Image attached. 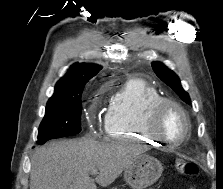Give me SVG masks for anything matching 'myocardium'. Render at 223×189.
<instances>
[{"label":"myocardium","mask_w":223,"mask_h":189,"mask_svg":"<svg viewBox=\"0 0 223 189\" xmlns=\"http://www.w3.org/2000/svg\"><path fill=\"white\" fill-rule=\"evenodd\" d=\"M169 106L174 107L176 110L179 111L185 123L184 135L182 136L181 139H179L176 142H169L166 138L162 136L159 130V122L161 115L163 114L165 109ZM145 130L148 133V135L155 138L159 142L166 144L169 147L176 148L181 144H183L190 136L191 122L187 111L180 103L171 98L161 97L150 106V108L146 113Z\"/></svg>","instance_id":"1"}]
</instances>
